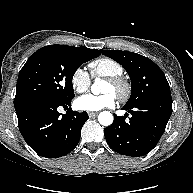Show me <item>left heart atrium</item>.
I'll use <instances>...</instances> for the list:
<instances>
[{
	"mask_svg": "<svg viewBox=\"0 0 193 193\" xmlns=\"http://www.w3.org/2000/svg\"><path fill=\"white\" fill-rule=\"evenodd\" d=\"M116 104V96L112 93L101 95L85 94L75 100V107L80 111L95 112L104 108H112Z\"/></svg>",
	"mask_w": 193,
	"mask_h": 193,
	"instance_id": "1",
	"label": "left heart atrium"
}]
</instances>
